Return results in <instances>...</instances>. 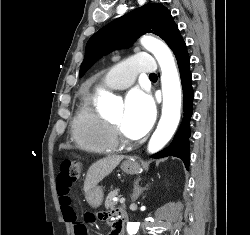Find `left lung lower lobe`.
I'll return each instance as SVG.
<instances>
[{
    "mask_svg": "<svg viewBox=\"0 0 250 235\" xmlns=\"http://www.w3.org/2000/svg\"><path fill=\"white\" fill-rule=\"evenodd\" d=\"M171 50L174 52L177 63L179 66L183 96H184V118L180 125V128L170 146L165 150L155 154L152 158H163L167 156H175L182 159L185 164V167H189V137H190V128L189 121L192 116V102H193V89H192V76L189 69L190 58L186 49L185 42L178 33L171 45Z\"/></svg>",
    "mask_w": 250,
    "mask_h": 235,
    "instance_id": "0a47b994",
    "label": "left lung lower lobe"
}]
</instances>
